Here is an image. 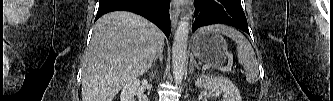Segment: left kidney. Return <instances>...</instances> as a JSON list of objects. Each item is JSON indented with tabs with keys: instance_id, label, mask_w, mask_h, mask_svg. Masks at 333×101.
<instances>
[{
	"instance_id": "obj_1",
	"label": "left kidney",
	"mask_w": 333,
	"mask_h": 101,
	"mask_svg": "<svg viewBox=\"0 0 333 101\" xmlns=\"http://www.w3.org/2000/svg\"><path fill=\"white\" fill-rule=\"evenodd\" d=\"M195 85L200 88L211 89L214 96L223 94V101H242L239 90L226 77L216 76L212 78L208 75H201L197 78Z\"/></svg>"
}]
</instances>
